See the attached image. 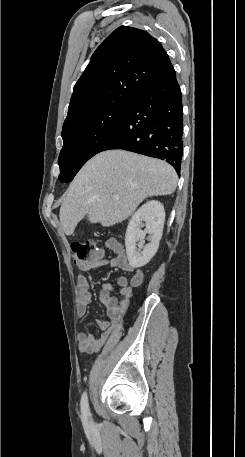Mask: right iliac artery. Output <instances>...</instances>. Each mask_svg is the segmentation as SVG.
I'll return each instance as SVG.
<instances>
[{
  "label": "right iliac artery",
  "mask_w": 245,
  "mask_h": 457,
  "mask_svg": "<svg viewBox=\"0 0 245 457\" xmlns=\"http://www.w3.org/2000/svg\"><path fill=\"white\" fill-rule=\"evenodd\" d=\"M81 412L84 416L90 415L88 398H87L86 392L83 393L82 398H81Z\"/></svg>",
  "instance_id": "1"
}]
</instances>
